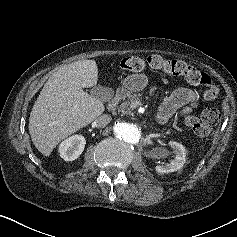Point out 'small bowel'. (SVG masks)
Listing matches in <instances>:
<instances>
[{"label":"small bowel","mask_w":237,"mask_h":237,"mask_svg":"<svg viewBox=\"0 0 237 237\" xmlns=\"http://www.w3.org/2000/svg\"><path fill=\"white\" fill-rule=\"evenodd\" d=\"M198 101L196 91L187 87H179L164 100L157 118L159 122L166 123L175 113L188 114L198 106Z\"/></svg>","instance_id":"obj_1"}]
</instances>
